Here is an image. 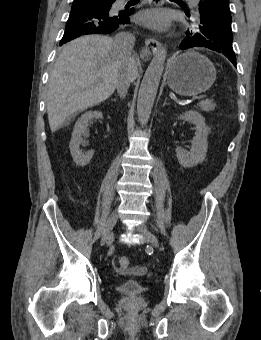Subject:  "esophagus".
<instances>
[{
	"mask_svg": "<svg viewBox=\"0 0 261 340\" xmlns=\"http://www.w3.org/2000/svg\"><path fill=\"white\" fill-rule=\"evenodd\" d=\"M153 3L155 6H161L164 4V0H154ZM160 48H161L160 41L154 37H150L145 40V46L142 52L146 53L147 51H149V52H152L154 55H156L158 54Z\"/></svg>",
	"mask_w": 261,
	"mask_h": 340,
	"instance_id": "34e87169",
	"label": "esophagus"
}]
</instances>
